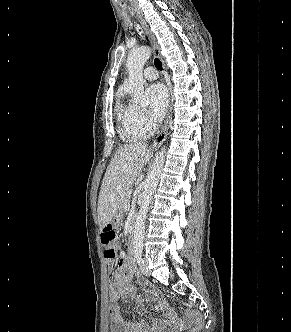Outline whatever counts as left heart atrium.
<instances>
[{
	"label": "left heart atrium",
	"instance_id": "left-heart-atrium-1",
	"mask_svg": "<svg viewBox=\"0 0 291 332\" xmlns=\"http://www.w3.org/2000/svg\"><path fill=\"white\" fill-rule=\"evenodd\" d=\"M150 101L149 115L155 121H161L168 107V92L164 85L155 83L150 85L146 90Z\"/></svg>",
	"mask_w": 291,
	"mask_h": 332
}]
</instances>
